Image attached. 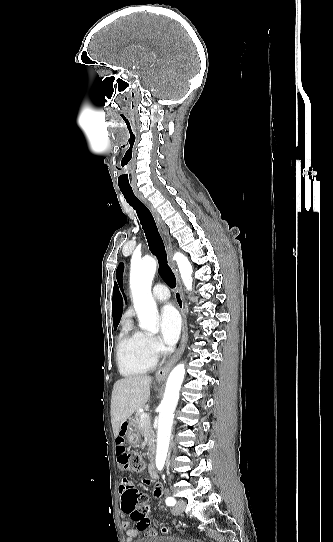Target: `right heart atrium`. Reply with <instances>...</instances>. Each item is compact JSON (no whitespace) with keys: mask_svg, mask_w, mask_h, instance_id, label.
<instances>
[{"mask_svg":"<svg viewBox=\"0 0 333 542\" xmlns=\"http://www.w3.org/2000/svg\"><path fill=\"white\" fill-rule=\"evenodd\" d=\"M146 343H147V346L149 347V349L153 352H158L160 350V343L158 342V340L152 336H148L147 335V340H146Z\"/></svg>","mask_w":333,"mask_h":542,"instance_id":"d8ad5b80","label":"right heart atrium"}]
</instances>
